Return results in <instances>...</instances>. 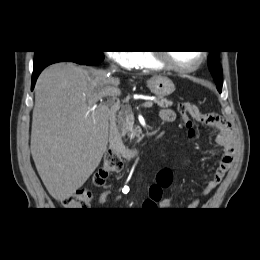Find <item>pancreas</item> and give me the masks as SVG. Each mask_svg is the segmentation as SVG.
I'll list each match as a JSON object with an SVG mask.
<instances>
[{
    "label": "pancreas",
    "instance_id": "obj_1",
    "mask_svg": "<svg viewBox=\"0 0 260 260\" xmlns=\"http://www.w3.org/2000/svg\"><path fill=\"white\" fill-rule=\"evenodd\" d=\"M154 102L161 108H168L173 104L171 101L165 98H157L154 100ZM117 123L122 131V136L127 134L131 139L134 137H138L140 139L137 131L131 128L133 124V113L128 105L122 106L117 116Z\"/></svg>",
    "mask_w": 260,
    "mask_h": 260
}]
</instances>
